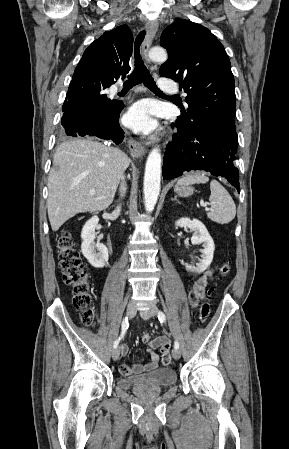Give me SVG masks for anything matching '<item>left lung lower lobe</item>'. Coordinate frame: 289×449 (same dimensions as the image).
Wrapping results in <instances>:
<instances>
[{"label": "left lung lower lobe", "mask_w": 289, "mask_h": 449, "mask_svg": "<svg viewBox=\"0 0 289 449\" xmlns=\"http://www.w3.org/2000/svg\"><path fill=\"white\" fill-rule=\"evenodd\" d=\"M178 128L163 161V178L172 179L184 171L204 170L222 176L240 192L239 170L234 164L238 138L236 131L207 121L188 125L177 119Z\"/></svg>", "instance_id": "1"}]
</instances>
